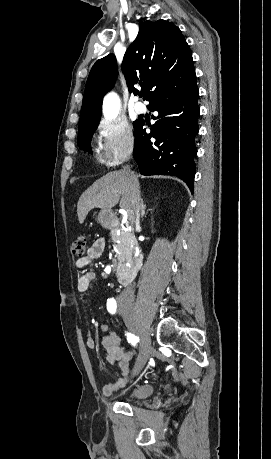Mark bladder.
I'll return each mask as SVG.
<instances>
[{"instance_id": "1", "label": "bladder", "mask_w": 271, "mask_h": 459, "mask_svg": "<svg viewBox=\"0 0 271 459\" xmlns=\"http://www.w3.org/2000/svg\"><path fill=\"white\" fill-rule=\"evenodd\" d=\"M153 392H154V387L151 385H148V384L137 385L129 390L128 402L135 403L140 399H143L147 396H151Z\"/></svg>"}]
</instances>
